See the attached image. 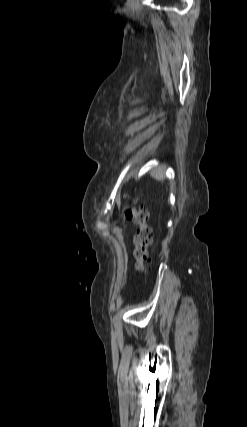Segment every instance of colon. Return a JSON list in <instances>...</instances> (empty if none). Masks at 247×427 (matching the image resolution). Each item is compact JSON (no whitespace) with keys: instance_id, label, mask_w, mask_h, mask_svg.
Listing matches in <instances>:
<instances>
[{"instance_id":"colon-1","label":"colon","mask_w":247,"mask_h":427,"mask_svg":"<svg viewBox=\"0 0 247 427\" xmlns=\"http://www.w3.org/2000/svg\"><path fill=\"white\" fill-rule=\"evenodd\" d=\"M124 216L137 226L134 235L133 256L136 261V269L139 272H144L145 265L149 259V247L152 242V232L148 225V211L144 208L129 206L125 209Z\"/></svg>"}]
</instances>
